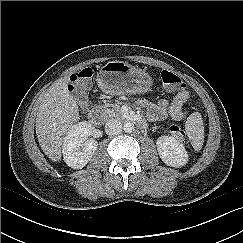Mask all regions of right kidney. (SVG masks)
Here are the masks:
<instances>
[{
	"label": "right kidney",
	"mask_w": 243,
	"mask_h": 243,
	"mask_svg": "<svg viewBox=\"0 0 243 243\" xmlns=\"http://www.w3.org/2000/svg\"><path fill=\"white\" fill-rule=\"evenodd\" d=\"M92 133L87 121L74 124L66 132L62 144L64 162L73 169H82L92 158L98 142L88 139Z\"/></svg>",
	"instance_id": "1"
}]
</instances>
